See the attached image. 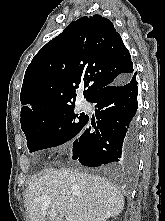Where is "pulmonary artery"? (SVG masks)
Listing matches in <instances>:
<instances>
[{"instance_id": "pulmonary-artery-1", "label": "pulmonary artery", "mask_w": 165, "mask_h": 221, "mask_svg": "<svg viewBox=\"0 0 165 221\" xmlns=\"http://www.w3.org/2000/svg\"><path fill=\"white\" fill-rule=\"evenodd\" d=\"M83 106L85 107V106H86V103H83Z\"/></svg>"}]
</instances>
